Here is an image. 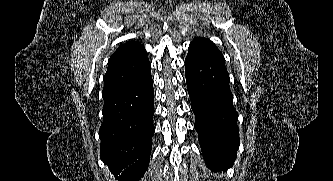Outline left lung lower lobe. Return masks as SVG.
<instances>
[{
  "mask_svg": "<svg viewBox=\"0 0 333 181\" xmlns=\"http://www.w3.org/2000/svg\"><path fill=\"white\" fill-rule=\"evenodd\" d=\"M185 67L204 160L212 170L231 167L239 147V129L225 61L189 46Z\"/></svg>",
  "mask_w": 333,
  "mask_h": 181,
  "instance_id": "left-lung-lower-lobe-1",
  "label": "left lung lower lobe"
}]
</instances>
